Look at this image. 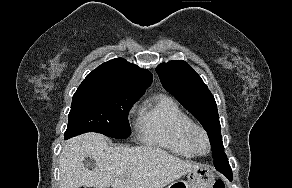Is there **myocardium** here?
Listing matches in <instances>:
<instances>
[{
    "label": "myocardium",
    "mask_w": 292,
    "mask_h": 188,
    "mask_svg": "<svg viewBox=\"0 0 292 188\" xmlns=\"http://www.w3.org/2000/svg\"><path fill=\"white\" fill-rule=\"evenodd\" d=\"M198 134L202 135L206 140V143H207V151L206 152H201L195 144V137ZM185 139H186L188 146L195 154L200 155V156H204V155H207L210 153L211 148H212L210 137H209L207 131L202 126L194 123L190 127H188L186 132H185Z\"/></svg>",
    "instance_id": "f54148a6"
}]
</instances>
